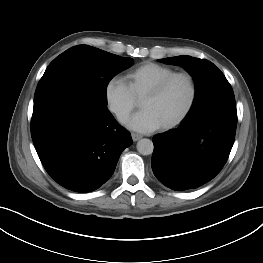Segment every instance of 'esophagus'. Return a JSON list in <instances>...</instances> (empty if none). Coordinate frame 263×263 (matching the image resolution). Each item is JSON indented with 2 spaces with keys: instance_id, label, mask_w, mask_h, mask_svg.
Listing matches in <instances>:
<instances>
[{
  "instance_id": "obj_1",
  "label": "esophagus",
  "mask_w": 263,
  "mask_h": 263,
  "mask_svg": "<svg viewBox=\"0 0 263 263\" xmlns=\"http://www.w3.org/2000/svg\"><path fill=\"white\" fill-rule=\"evenodd\" d=\"M131 136H132L133 141H135V142L142 138V136L140 134H137V133H131Z\"/></svg>"
}]
</instances>
